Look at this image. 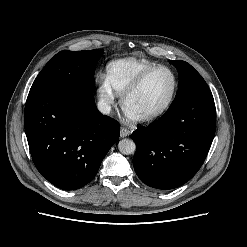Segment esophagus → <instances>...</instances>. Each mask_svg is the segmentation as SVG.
Masks as SVG:
<instances>
[{"instance_id": "esophagus-1", "label": "esophagus", "mask_w": 247, "mask_h": 247, "mask_svg": "<svg viewBox=\"0 0 247 247\" xmlns=\"http://www.w3.org/2000/svg\"><path fill=\"white\" fill-rule=\"evenodd\" d=\"M131 131L125 127H122L120 130V136L121 137H126L128 135H130Z\"/></svg>"}]
</instances>
